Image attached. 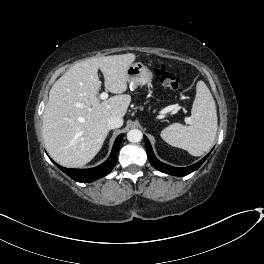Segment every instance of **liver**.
I'll list each match as a JSON object with an SVG mask.
<instances>
[{"label": "liver", "mask_w": 264, "mask_h": 264, "mask_svg": "<svg viewBox=\"0 0 264 264\" xmlns=\"http://www.w3.org/2000/svg\"><path fill=\"white\" fill-rule=\"evenodd\" d=\"M133 53L89 58L71 66L52 86L43 114V139L51 158L62 166L82 167L100 151L112 116L123 117L131 102L127 69ZM104 76L105 89L117 94L101 101L98 92Z\"/></svg>", "instance_id": "obj_1"}]
</instances>
